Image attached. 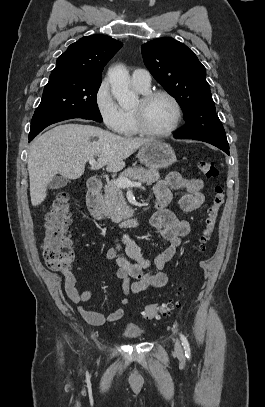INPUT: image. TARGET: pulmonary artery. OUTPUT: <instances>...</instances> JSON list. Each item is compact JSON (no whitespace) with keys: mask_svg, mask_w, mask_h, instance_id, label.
I'll use <instances>...</instances> for the list:
<instances>
[{"mask_svg":"<svg viewBox=\"0 0 265 407\" xmlns=\"http://www.w3.org/2000/svg\"><path fill=\"white\" fill-rule=\"evenodd\" d=\"M131 82L134 87L148 90L151 85V75L145 69H136L132 72Z\"/></svg>","mask_w":265,"mask_h":407,"instance_id":"obj_1","label":"pulmonary artery"}]
</instances>
